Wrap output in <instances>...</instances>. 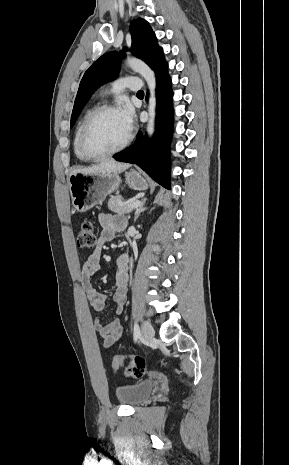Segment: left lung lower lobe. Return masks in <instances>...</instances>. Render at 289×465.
Instances as JSON below:
<instances>
[{
    "mask_svg": "<svg viewBox=\"0 0 289 465\" xmlns=\"http://www.w3.org/2000/svg\"><path fill=\"white\" fill-rule=\"evenodd\" d=\"M157 124L156 142L147 140L139 132L135 144L113 157L117 161L137 164L156 182L170 189L168 143L172 127V96L171 80L168 72L157 78Z\"/></svg>",
    "mask_w": 289,
    "mask_h": 465,
    "instance_id": "1",
    "label": "left lung lower lobe"
}]
</instances>
